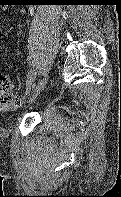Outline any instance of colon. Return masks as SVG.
<instances>
[{"mask_svg":"<svg viewBox=\"0 0 121 197\" xmlns=\"http://www.w3.org/2000/svg\"><path fill=\"white\" fill-rule=\"evenodd\" d=\"M19 99L14 95L10 79L0 73V111H11L19 106Z\"/></svg>","mask_w":121,"mask_h":197,"instance_id":"5ec220e1","label":"colon"}]
</instances>
